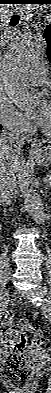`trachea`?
<instances>
[{
	"label": "trachea",
	"instance_id": "1",
	"mask_svg": "<svg viewBox=\"0 0 51 393\" xmlns=\"http://www.w3.org/2000/svg\"><path fill=\"white\" fill-rule=\"evenodd\" d=\"M19 20H20V16L19 15H14L11 18L10 25L11 26H16L19 23Z\"/></svg>",
	"mask_w": 51,
	"mask_h": 393
}]
</instances>
